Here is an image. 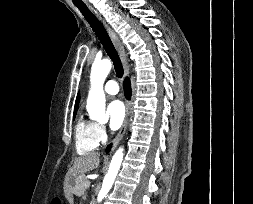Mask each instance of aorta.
<instances>
[{
  "label": "aorta",
  "instance_id": "762f6f07",
  "mask_svg": "<svg viewBox=\"0 0 253 204\" xmlns=\"http://www.w3.org/2000/svg\"><path fill=\"white\" fill-rule=\"evenodd\" d=\"M111 62L108 59L96 61L91 68V89L87 99V111L92 120L106 122L108 115L105 114V94L103 90L104 81L111 70ZM123 160V148H119L112 157L108 173L106 174L102 188L98 194L97 201L101 202L111 189L116 175Z\"/></svg>",
  "mask_w": 253,
  "mask_h": 204
}]
</instances>
